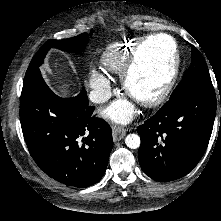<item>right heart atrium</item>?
I'll use <instances>...</instances> for the list:
<instances>
[{"label": "right heart atrium", "mask_w": 221, "mask_h": 221, "mask_svg": "<svg viewBox=\"0 0 221 221\" xmlns=\"http://www.w3.org/2000/svg\"><path fill=\"white\" fill-rule=\"evenodd\" d=\"M90 83L94 87H98L107 82V77L104 73L92 69L89 77Z\"/></svg>", "instance_id": "right-heart-atrium-1"}]
</instances>
